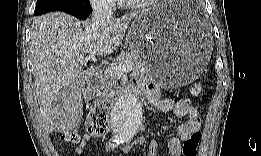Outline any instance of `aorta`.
<instances>
[{"mask_svg":"<svg viewBox=\"0 0 261 156\" xmlns=\"http://www.w3.org/2000/svg\"><path fill=\"white\" fill-rule=\"evenodd\" d=\"M111 128L115 136L123 141L133 139L143 123V108L134 95L122 96L111 111Z\"/></svg>","mask_w":261,"mask_h":156,"instance_id":"762f6f07","label":"aorta"}]
</instances>
